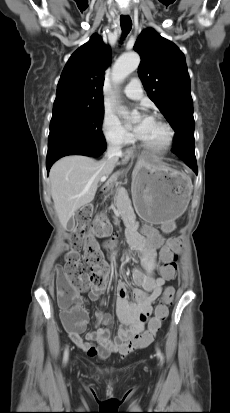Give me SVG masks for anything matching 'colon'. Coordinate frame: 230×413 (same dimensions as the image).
I'll return each instance as SVG.
<instances>
[{
    "mask_svg": "<svg viewBox=\"0 0 230 413\" xmlns=\"http://www.w3.org/2000/svg\"><path fill=\"white\" fill-rule=\"evenodd\" d=\"M106 227L107 219L102 215L94 218V209L91 205L82 207L76 215V226L68 240L70 251L66 255L65 264L58 271L57 280L58 302L64 311H73L76 319L81 317V310L77 307L75 292L86 291L91 287H102L105 283V275L109 267L93 234H100ZM180 246V239L174 237L167 241L162 252L164 268L160 267L159 271L160 275L168 281H173L176 278L177 256ZM107 247L112 250L115 247V242H108ZM81 250L86 264L90 267L89 271H86L81 259ZM172 299L173 293L171 291L163 295L161 303L156 307L155 314L149 321L148 329L139 339L130 341L125 346L126 354L152 342L162 321L168 315L167 306L172 302Z\"/></svg>",
    "mask_w": 230,
    "mask_h": 413,
    "instance_id": "5ec220e1",
    "label": "colon"
}]
</instances>
